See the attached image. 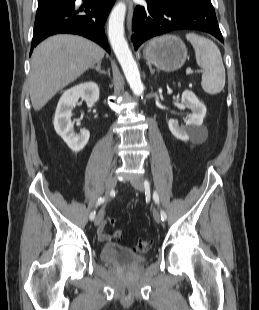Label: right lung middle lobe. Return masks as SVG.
Instances as JSON below:
<instances>
[{"label": "right lung middle lobe", "mask_w": 259, "mask_h": 310, "mask_svg": "<svg viewBox=\"0 0 259 310\" xmlns=\"http://www.w3.org/2000/svg\"><path fill=\"white\" fill-rule=\"evenodd\" d=\"M70 0H38V9H44L49 6L67 4Z\"/></svg>", "instance_id": "right-lung-middle-lobe-1"}]
</instances>
